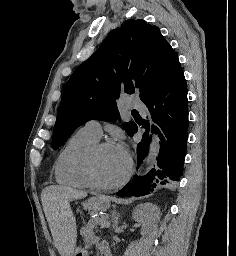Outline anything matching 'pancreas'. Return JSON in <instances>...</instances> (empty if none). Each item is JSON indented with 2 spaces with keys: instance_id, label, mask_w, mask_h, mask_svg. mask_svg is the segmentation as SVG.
<instances>
[{
  "instance_id": "pancreas-1",
  "label": "pancreas",
  "mask_w": 236,
  "mask_h": 256,
  "mask_svg": "<svg viewBox=\"0 0 236 256\" xmlns=\"http://www.w3.org/2000/svg\"><path fill=\"white\" fill-rule=\"evenodd\" d=\"M107 226V224H104ZM93 227H99V222H92V224H85L81 230V234H83L84 238L81 239L82 243H85V248H89L92 246V243H100V238H95L94 232L91 231Z\"/></svg>"
}]
</instances>
